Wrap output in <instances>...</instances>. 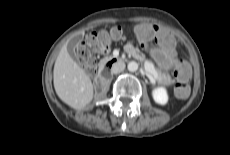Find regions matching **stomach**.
Wrapping results in <instances>:
<instances>
[{
	"instance_id": "0dacf381",
	"label": "stomach",
	"mask_w": 230,
	"mask_h": 155,
	"mask_svg": "<svg viewBox=\"0 0 230 155\" xmlns=\"http://www.w3.org/2000/svg\"><path fill=\"white\" fill-rule=\"evenodd\" d=\"M150 55L154 59V61L157 63L158 67L161 71H167L172 66V60H166L162 56V50L160 48H152L150 50Z\"/></svg>"
}]
</instances>
